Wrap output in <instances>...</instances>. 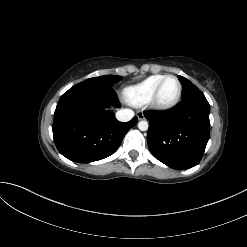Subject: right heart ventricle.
I'll return each mask as SVG.
<instances>
[{
	"instance_id": "e07e8e85",
	"label": "right heart ventricle",
	"mask_w": 247,
	"mask_h": 247,
	"mask_svg": "<svg viewBox=\"0 0 247 247\" xmlns=\"http://www.w3.org/2000/svg\"><path fill=\"white\" fill-rule=\"evenodd\" d=\"M165 75H152L140 83L125 89L126 99L134 106H141L148 103L160 81Z\"/></svg>"
}]
</instances>
